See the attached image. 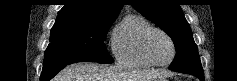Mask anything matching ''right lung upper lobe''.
<instances>
[{
  "instance_id": "1",
  "label": "right lung upper lobe",
  "mask_w": 237,
  "mask_h": 81,
  "mask_svg": "<svg viewBox=\"0 0 237 81\" xmlns=\"http://www.w3.org/2000/svg\"><path fill=\"white\" fill-rule=\"evenodd\" d=\"M122 6V0H66L57 19L115 20Z\"/></svg>"
}]
</instances>
